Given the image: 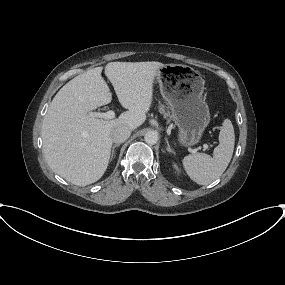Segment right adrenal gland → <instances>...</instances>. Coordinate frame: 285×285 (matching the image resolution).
<instances>
[{
  "label": "right adrenal gland",
  "instance_id": "2a0ac1e0",
  "mask_svg": "<svg viewBox=\"0 0 285 285\" xmlns=\"http://www.w3.org/2000/svg\"><path fill=\"white\" fill-rule=\"evenodd\" d=\"M119 146H120V144H115V145H113L112 151H111V160L113 159V157H114V155H115V148H116V147H119Z\"/></svg>",
  "mask_w": 285,
  "mask_h": 285
}]
</instances>
